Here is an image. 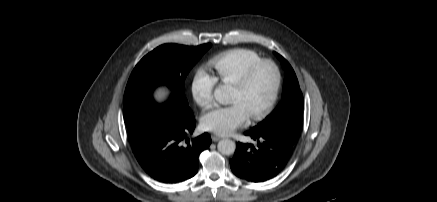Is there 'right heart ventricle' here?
I'll use <instances>...</instances> for the list:
<instances>
[{
  "instance_id": "obj_1",
  "label": "right heart ventricle",
  "mask_w": 437,
  "mask_h": 202,
  "mask_svg": "<svg viewBox=\"0 0 437 202\" xmlns=\"http://www.w3.org/2000/svg\"><path fill=\"white\" fill-rule=\"evenodd\" d=\"M260 59L255 51L235 48L213 56L208 65L215 71L218 81L233 84L251 64Z\"/></svg>"
}]
</instances>
